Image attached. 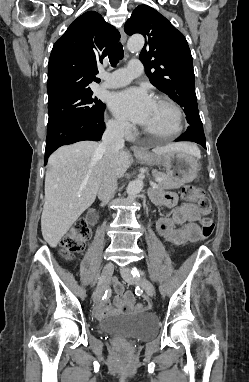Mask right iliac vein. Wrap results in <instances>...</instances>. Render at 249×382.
Listing matches in <instances>:
<instances>
[{"label":"right iliac vein","instance_id":"right-iliac-vein-1","mask_svg":"<svg viewBox=\"0 0 249 382\" xmlns=\"http://www.w3.org/2000/svg\"><path fill=\"white\" fill-rule=\"evenodd\" d=\"M113 271H114L113 263L108 262L103 268L101 281L93 293V301L94 302H97L100 299L101 295L103 294V292L106 288L107 281L110 279V277L113 274Z\"/></svg>","mask_w":249,"mask_h":382}]
</instances>
